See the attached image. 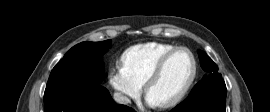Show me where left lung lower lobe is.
<instances>
[{
    "instance_id": "left-lung-lower-lobe-1",
    "label": "left lung lower lobe",
    "mask_w": 270,
    "mask_h": 112,
    "mask_svg": "<svg viewBox=\"0 0 270 112\" xmlns=\"http://www.w3.org/2000/svg\"><path fill=\"white\" fill-rule=\"evenodd\" d=\"M226 85L218 79L189 96L170 112H226Z\"/></svg>"
}]
</instances>
